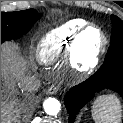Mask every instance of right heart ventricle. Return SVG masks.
<instances>
[{
  "label": "right heart ventricle",
  "instance_id": "right-heart-ventricle-1",
  "mask_svg": "<svg viewBox=\"0 0 123 123\" xmlns=\"http://www.w3.org/2000/svg\"><path fill=\"white\" fill-rule=\"evenodd\" d=\"M80 25V20H73L46 33L37 46V59L43 64H50L64 55L71 61L74 40L82 31L78 30Z\"/></svg>",
  "mask_w": 123,
  "mask_h": 123
}]
</instances>
